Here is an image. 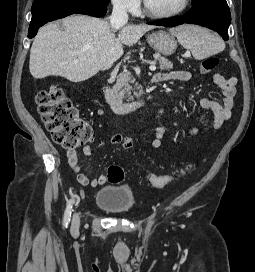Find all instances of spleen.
<instances>
[{
    "instance_id": "3e777b00",
    "label": "spleen",
    "mask_w": 255,
    "mask_h": 272,
    "mask_svg": "<svg viewBox=\"0 0 255 272\" xmlns=\"http://www.w3.org/2000/svg\"><path fill=\"white\" fill-rule=\"evenodd\" d=\"M170 32L184 48L192 52L197 60L215 55L225 49V43L220 37L196 25H181L171 29Z\"/></svg>"
}]
</instances>
